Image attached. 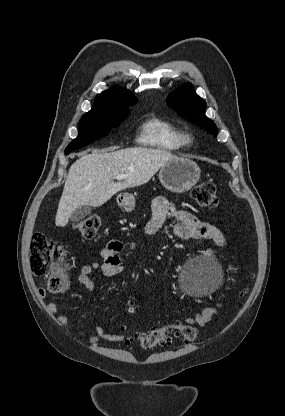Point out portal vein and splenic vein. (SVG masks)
Wrapping results in <instances>:
<instances>
[{"mask_svg": "<svg viewBox=\"0 0 285 416\" xmlns=\"http://www.w3.org/2000/svg\"><path fill=\"white\" fill-rule=\"evenodd\" d=\"M124 178H127L126 174H117L116 176V180H119V182H121V180H124Z\"/></svg>", "mask_w": 285, "mask_h": 416, "instance_id": "18ae733b", "label": "portal vein and splenic vein"}]
</instances>
